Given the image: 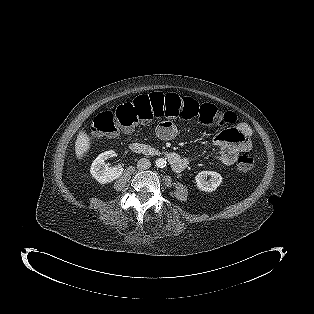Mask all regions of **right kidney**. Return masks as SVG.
Here are the masks:
<instances>
[{"mask_svg":"<svg viewBox=\"0 0 314 314\" xmlns=\"http://www.w3.org/2000/svg\"><path fill=\"white\" fill-rule=\"evenodd\" d=\"M115 155V152L110 150L101 153L92 163L90 173L99 183H110L119 178L123 173L122 166L105 165V161Z\"/></svg>","mask_w":314,"mask_h":314,"instance_id":"obj_1","label":"right kidney"}]
</instances>
